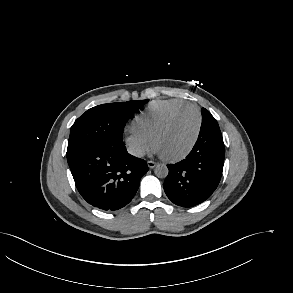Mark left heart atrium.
Wrapping results in <instances>:
<instances>
[{"label": "left heart atrium", "instance_id": "obj_1", "mask_svg": "<svg viewBox=\"0 0 293 293\" xmlns=\"http://www.w3.org/2000/svg\"><path fill=\"white\" fill-rule=\"evenodd\" d=\"M154 152L158 153V154H161L157 147H154Z\"/></svg>", "mask_w": 293, "mask_h": 293}]
</instances>
